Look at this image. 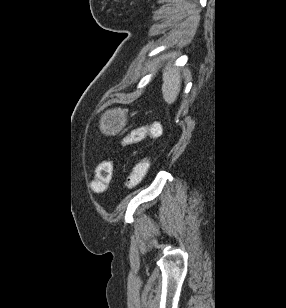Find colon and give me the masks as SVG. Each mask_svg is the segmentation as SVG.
Masks as SVG:
<instances>
[{
	"label": "colon",
	"mask_w": 286,
	"mask_h": 308,
	"mask_svg": "<svg viewBox=\"0 0 286 308\" xmlns=\"http://www.w3.org/2000/svg\"><path fill=\"white\" fill-rule=\"evenodd\" d=\"M160 133V124L154 123L141 126L130 131L123 139V145H132L143 141L148 136H157ZM149 168V159L144 157L137 161L131 168L126 180L125 187L134 189L144 180ZM113 161L106 159L101 161L95 171V178L91 183L92 190L103 192L109 187L113 176Z\"/></svg>",
	"instance_id": "colon-1"
}]
</instances>
